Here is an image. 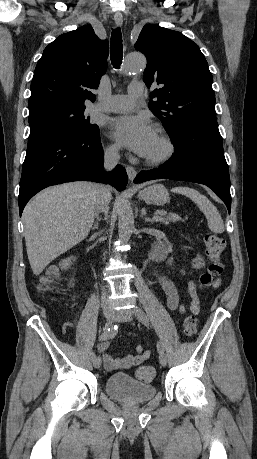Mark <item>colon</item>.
<instances>
[{
    "label": "colon",
    "instance_id": "obj_1",
    "mask_svg": "<svg viewBox=\"0 0 257 459\" xmlns=\"http://www.w3.org/2000/svg\"><path fill=\"white\" fill-rule=\"evenodd\" d=\"M206 253L209 257L210 263L205 271L199 277V286L202 289L210 287L223 272V264L221 262V255L225 248L224 240L212 232H208L204 237ZM62 268L51 269L45 276H43L39 283L41 291H48L52 288L55 280L60 274ZM183 332L186 336H192L197 332L198 320L194 314L185 317L183 321ZM136 375L140 380L150 381L155 376V369L151 366L139 367Z\"/></svg>",
    "mask_w": 257,
    "mask_h": 459
}]
</instances>
